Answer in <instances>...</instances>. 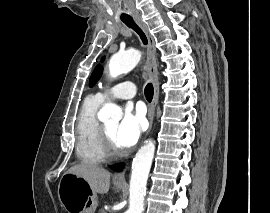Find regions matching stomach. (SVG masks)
I'll list each match as a JSON object with an SVG mask.
<instances>
[{
  "instance_id": "1",
  "label": "stomach",
  "mask_w": 270,
  "mask_h": 213,
  "mask_svg": "<svg viewBox=\"0 0 270 213\" xmlns=\"http://www.w3.org/2000/svg\"><path fill=\"white\" fill-rule=\"evenodd\" d=\"M119 189L122 184H115ZM58 197L61 206L68 213H95L98 205L97 196L90 185L81 177L65 173L58 185Z\"/></svg>"
}]
</instances>
